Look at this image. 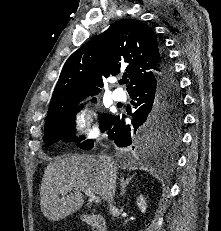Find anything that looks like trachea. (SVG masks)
<instances>
[{
  "instance_id": "1",
  "label": "trachea",
  "mask_w": 221,
  "mask_h": 231,
  "mask_svg": "<svg viewBox=\"0 0 221 231\" xmlns=\"http://www.w3.org/2000/svg\"><path fill=\"white\" fill-rule=\"evenodd\" d=\"M121 84H125L128 83V79L127 78H123L119 81Z\"/></svg>"
}]
</instances>
